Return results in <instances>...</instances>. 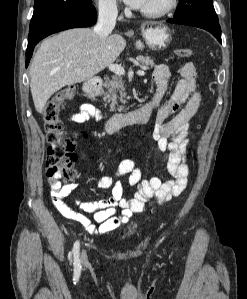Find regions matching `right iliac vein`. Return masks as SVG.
<instances>
[{"label": "right iliac vein", "mask_w": 247, "mask_h": 299, "mask_svg": "<svg viewBox=\"0 0 247 299\" xmlns=\"http://www.w3.org/2000/svg\"><path fill=\"white\" fill-rule=\"evenodd\" d=\"M81 260H82L83 262H86V261H87V254H86L85 251H83L82 254H81Z\"/></svg>", "instance_id": "obj_1"}]
</instances>
